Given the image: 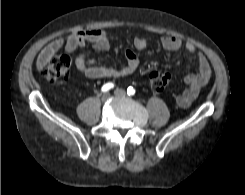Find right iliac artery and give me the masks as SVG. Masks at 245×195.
<instances>
[{
    "label": "right iliac artery",
    "mask_w": 245,
    "mask_h": 195,
    "mask_svg": "<svg viewBox=\"0 0 245 195\" xmlns=\"http://www.w3.org/2000/svg\"><path fill=\"white\" fill-rule=\"evenodd\" d=\"M113 87H114V84L109 82V83H106V84L103 85L101 91L102 92H107L110 89H112Z\"/></svg>",
    "instance_id": "82829eb1"
}]
</instances>
